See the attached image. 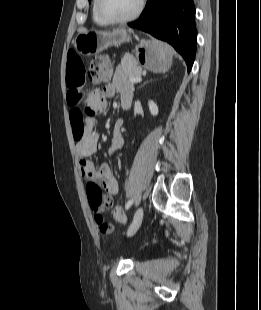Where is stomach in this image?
Returning <instances> with one entry per match:
<instances>
[{"label":"stomach","instance_id":"stomach-1","mask_svg":"<svg viewBox=\"0 0 261 310\" xmlns=\"http://www.w3.org/2000/svg\"><path fill=\"white\" fill-rule=\"evenodd\" d=\"M128 31L124 28L111 32L87 31L75 38V48L83 55L91 56L111 46H120L130 41ZM137 62L142 67L155 73H165L172 64V49L157 40H141L135 48Z\"/></svg>","mask_w":261,"mask_h":310}]
</instances>
